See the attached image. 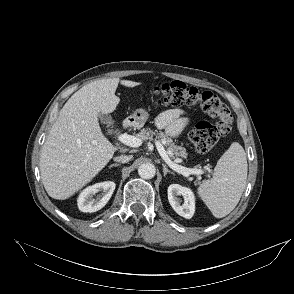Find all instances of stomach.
I'll list each match as a JSON object with an SVG mask.
<instances>
[{
    "label": "stomach",
    "mask_w": 294,
    "mask_h": 294,
    "mask_svg": "<svg viewBox=\"0 0 294 294\" xmlns=\"http://www.w3.org/2000/svg\"><path fill=\"white\" fill-rule=\"evenodd\" d=\"M132 123L136 127H142L147 119L149 118V113L145 109L139 108L136 109L133 114L130 116Z\"/></svg>",
    "instance_id": "0dacf381"
}]
</instances>
